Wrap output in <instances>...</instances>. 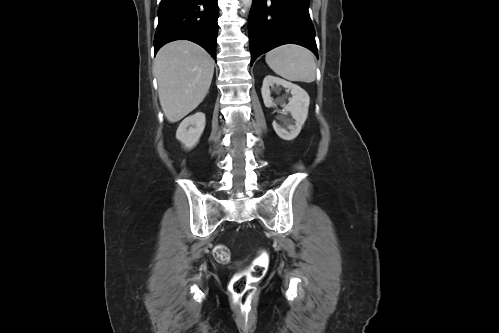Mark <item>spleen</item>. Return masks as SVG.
Masks as SVG:
<instances>
[{
    "instance_id": "3e777b00",
    "label": "spleen",
    "mask_w": 499,
    "mask_h": 333,
    "mask_svg": "<svg viewBox=\"0 0 499 333\" xmlns=\"http://www.w3.org/2000/svg\"><path fill=\"white\" fill-rule=\"evenodd\" d=\"M268 66L281 77L290 81L311 83L316 79V62L308 49L288 44L266 54Z\"/></svg>"
}]
</instances>
